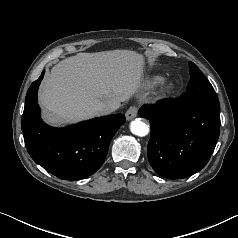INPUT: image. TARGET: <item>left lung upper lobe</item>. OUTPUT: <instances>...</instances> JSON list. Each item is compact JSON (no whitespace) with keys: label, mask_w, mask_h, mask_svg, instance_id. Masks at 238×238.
Wrapping results in <instances>:
<instances>
[{"label":"left lung upper lobe","mask_w":238,"mask_h":238,"mask_svg":"<svg viewBox=\"0 0 238 238\" xmlns=\"http://www.w3.org/2000/svg\"><path fill=\"white\" fill-rule=\"evenodd\" d=\"M190 81L186 92L181 95L180 101L182 106L200 100L217 101L218 97L208 79L202 74L199 68L189 62Z\"/></svg>","instance_id":"obj_1"}]
</instances>
